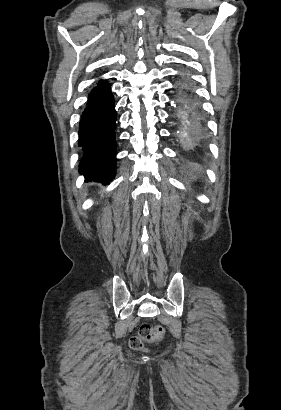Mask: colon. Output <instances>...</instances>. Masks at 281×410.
I'll return each instance as SVG.
<instances>
[{"label":"colon","mask_w":281,"mask_h":410,"mask_svg":"<svg viewBox=\"0 0 281 410\" xmlns=\"http://www.w3.org/2000/svg\"><path fill=\"white\" fill-rule=\"evenodd\" d=\"M164 333L165 329L161 325L151 326L143 324L140 326L137 333L130 338L129 345L134 351H142L145 348L146 342L161 338Z\"/></svg>","instance_id":"colon-1"}]
</instances>
